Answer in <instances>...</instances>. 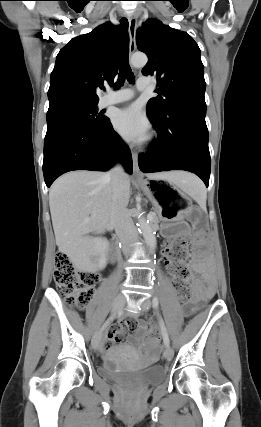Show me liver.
Segmentation results:
<instances>
[{
	"label": "liver",
	"mask_w": 261,
	"mask_h": 427,
	"mask_svg": "<svg viewBox=\"0 0 261 427\" xmlns=\"http://www.w3.org/2000/svg\"><path fill=\"white\" fill-rule=\"evenodd\" d=\"M183 172L148 174L150 179L172 182L179 187ZM129 194L130 178L127 176ZM113 190L107 173L79 170L58 178L49 191V206L56 245L61 252L73 253L80 265L90 268L95 255L89 233H104L110 223Z\"/></svg>",
	"instance_id": "obj_1"
}]
</instances>
